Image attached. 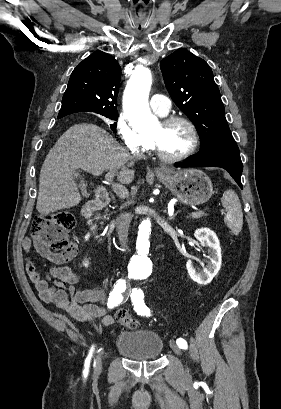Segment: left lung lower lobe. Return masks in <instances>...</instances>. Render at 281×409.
<instances>
[{
	"instance_id": "obj_1",
	"label": "left lung lower lobe",
	"mask_w": 281,
	"mask_h": 409,
	"mask_svg": "<svg viewBox=\"0 0 281 409\" xmlns=\"http://www.w3.org/2000/svg\"><path fill=\"white\" fill-rule=\"evenodd\" d=\"M201 166L224 168L229 172L241 189L243 188L241 184L243 164L239 152H198L187 161L175 165V167Z\"/></svg>"
}]
</instances>
